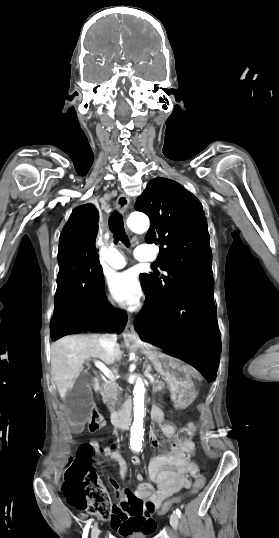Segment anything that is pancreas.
<instances>
[{
  "instance_id": "cf45deb5",
  "label": "pancreas",
  "mask_w": 279,
  "mask_h": 538,
  "mask_svg": "<svg viewBox=\"0 0 279 538\" xmlns=\"http://www.w3.org/2000/svg\"><path fill=\"white\" fill-rule=\"evenodd\" d=\"M163 384H166V381H163L162 379H153L151 381V388H153V392L160 393L162 391L161 387ZM100 394L104 404H107L109 410L114 412L115 404H117L119 396L117 384H113V382H105L103 388L100 390Z\"/></svg>"
}]
</instances>
